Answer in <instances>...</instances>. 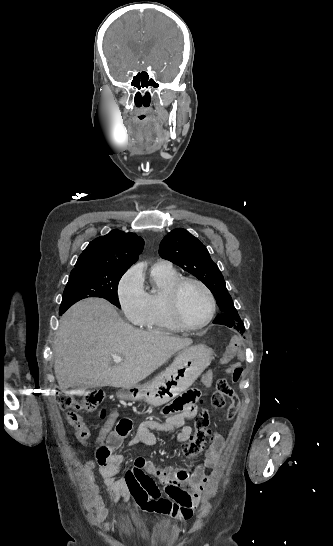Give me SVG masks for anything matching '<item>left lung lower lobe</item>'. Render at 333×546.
<instances>
[{"label": "left lung lower lobe", "instance_id": "0a47b994", "mask_svg": "<svg viewBox=\"0 0 333 546\" xmlns=\"http://www.w3.org/2000/svg\"><path fill=\"white\" fill-rule=\"evenodd\" d=\"M213 323L226 325L228 327H233L234 329H237L240 332H244L245 330L243 322L241 320L234 319L233 317L225 313L218 315L213 321Z\"/></svg>", "mask_w": 333, "mask_h": 546}]
</instances>
